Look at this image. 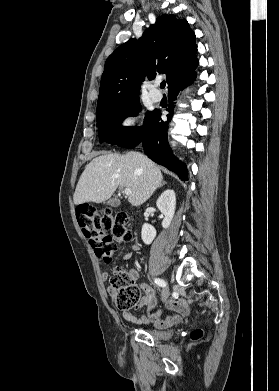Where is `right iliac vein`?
I'll return each mask as SVG.
<instances>
[{
	"label": "right iliac vein",
	"mask_w": 279,
	"mask_h": 391,
	"mask_svg": "<svg viewBox=\"0 0 279 391\" xmlns=\"http://www.w3.org/2000/svg\"><path fill=\"white\" fill-rule=\"evenodd\" d=\"M168 297H169V288H168V287H165V288L162 290V300H163V301H166Z\"/></svg>",
	"instance_id": "obj_1"
}]
</instances>
